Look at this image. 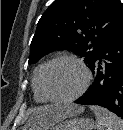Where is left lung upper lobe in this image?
<instances>
[{"instance_id":"left-lung-upper-lobe-1","label":"left lung upper lobe","mask_w":123,"mask_h":130,"mask_svg":"<svg viewBox=\"0 0 123 130\" xmlns=\"http://www.w3.org/2000/svg\"><path fill=\"white\" fill-rule=\"evenodd\" d=\"M122 21L120 0H55L38 22L28 63L61 49L91 65Z\"/></svg>"}]
</instances>
